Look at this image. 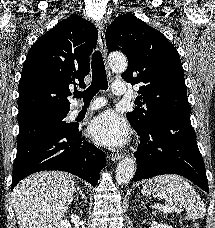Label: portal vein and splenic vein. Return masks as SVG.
Returning a JSON list of instances; mask_svg holds the SVG:
<instances>
[{
  "instance_id": "obj_1",
  "label": "portal vein and splenic vein",
  "mask_w": 215,
  "mask_h": 228,
  "mask_svg": "<svg viewBox=\"0 0 215 228\" xmlns=\"http://www.w3.org/2000/svg\"><path fill=\"white\" fill-rule=\"evenodd\" d=\"M152 208H156V210H159V208H161L160 204H154V206H152ZM162 212H165V214H169V212H172L171 208H161Z\"/></svg>"
}]
</instances>
